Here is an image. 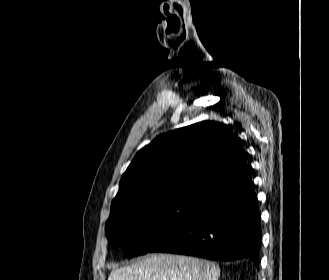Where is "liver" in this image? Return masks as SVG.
Listing matches in <instances>:
<instances>
[{
    "mask_svg": "<svg viewBox=\"0 0 329 280\" xmlns=\"http://www.w3.org/2000/svg\"><path fill=\"white\" fill-rule=\"evenodd\" d=\"M212 262L172 254H152L131 265L114 268L108 280H218Z\"/></svg>",
    "mask_w": 329,
    "mask_h": 280,
    "instance_id": "obj_1",
    "label": "liver"
}]
</instances>
